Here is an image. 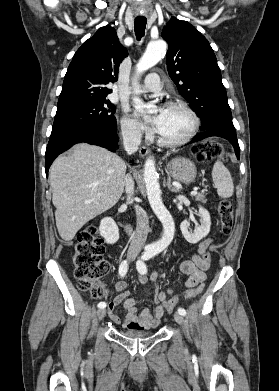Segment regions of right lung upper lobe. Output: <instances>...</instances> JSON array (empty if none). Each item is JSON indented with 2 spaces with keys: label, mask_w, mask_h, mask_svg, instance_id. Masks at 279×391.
I'll list each match as a JSON object with an SVG mask.
<instances>
[{
  "label": "right lung upper lobe",
  "mask_w": 279,
  "mask_h": 391,
  "mask_svg": "<svg viewBox=\"0 0 279 391\" xmlns=\"http://www.w3.org/2000/svg\"><path fill=\"white\" fill-rule=\"evenodd\" d=\"M128 55L111 26L100 28L75 53L64 78L57 109L106 99L107 84L118 79L121 61Z\"/></svg>",
  "instance_id": "cb5924a9"
}]
</instances>
